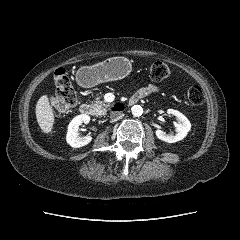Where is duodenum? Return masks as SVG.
Wrapping results in <instances>:
<instances>
[{
  "label": "duodenum",
  "instance_id": "obj_1",
  "mask_svg": "<svg viewBox=\"0 0 240 240\" xmlns=\"http://www.w3.org/2000/svg\"><path fill=\"white\" fill-rule=\"evenodd\" d=\"M142 97L135 93L133 96L130 97V99L128 100V105L131 106V105H134L136 104ZM116 108L118 109V111H122L124 109V104H117L116 105ZM80 111L82 114H85V115H91L93 113V109L92 107L87 104V103H83L81 104L80 106Z\"/></svg>",
  "mask_w": 240,
  "mask_h": 240
}]
</instances>
